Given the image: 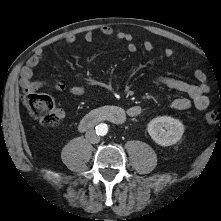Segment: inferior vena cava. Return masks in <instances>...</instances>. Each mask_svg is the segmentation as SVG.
Here are the masks:
<instances>
[{
  "label": "inferior vena cava",
  "mask_w": 221,
  "mask_h": 221,
  "mask_svg": "<svg viewBox=\"0 0 221 221\" xmlns=\"http://www.w3.org/2000/svg\"><path fill=\"white\" fill-rule=\"evenodd\" d=\"M85 137L92 144H97L100 141L99 135H97L94 130H88Z\"/></svg>",
  "instance_id": "602c4592"
}]
</instances>
